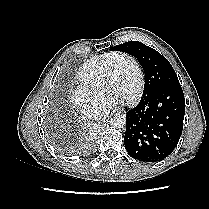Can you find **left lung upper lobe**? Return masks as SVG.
Returning <instances> with one entry per match:
<instances>
[{"instance_id":"obj_1","label":"left lung upper lobe","mask_w":209,"mask_h":209,"mask_svg":"<svg viewBox=\"0 0 209 209\" xmlns=\"http://www.w3.org/2000/svg\"><path fill=\"white\" fill-rule=\"evenodd\" d=\"M117 51L134 55L145 72L143 95L161 88L162 86L179 82L178 77L168 60L155 49L139 41L125 42L114 47Z\"/></svg>"}]
</instances>
